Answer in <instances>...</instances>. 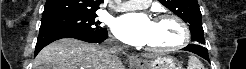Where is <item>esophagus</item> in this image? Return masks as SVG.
<instances>
[{
	"instance_id": "obj_1",
	"label": "esophagus",
	"mask_w": 246,
	"mask_h": 69,
	"mask_svg": "<svg viewBox=\"0 0 246 69\" xmlns=\"http://www.w3.org/2000/svg\"><path fill=\"white\" fill-rule=\"evenodd\" d=\"M131 59H132V60H134V59H135V56H134V55H132V56H131Z\"/></svg>"
}]
</instances>
